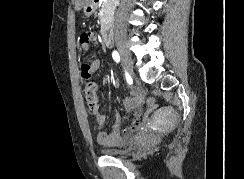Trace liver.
I'll return each mask as SVG.
<instances>
[{"label": "liver", "instance_id": "6515ba94", "mask_svg": "<svg viewBox=\"0 0 244 179\" xmlns=\"http://www.w3.org/2000/svg\"><path fill=\"white\" fill-rule=\"evenodd\" d=\"M89 2H91V0H75V10L79 12V10H81L85 4H89Z\"/></svg>", "mask_w": 244, "mask_h": 179}]
</instances>
